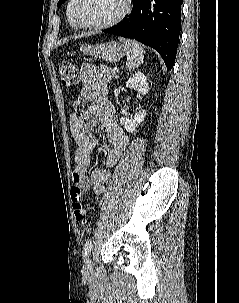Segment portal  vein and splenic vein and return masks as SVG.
<instances>
[{"instance_id":"obj_1","label":"portal vein and splenic vein","mask_w":239,"mask_h":303,"mask_svg":"<svg viewBox=\"0 0 239 303\" xmlns=\"http://www.w3.org/2000/svg\"><path fill=\"white\" fill-rule=\"evenodd\" d=\"M112 71L115 72V73H117L118 72V68H114Z\"/></svg>"}]
</instances>
